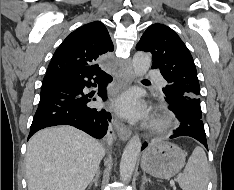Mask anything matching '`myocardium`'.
<instances>
[{"mask_svg":"<svg viewBox=\"0 0 234 190\" xmlns=\"http://www.w3.org/2000/svg\"><path fill=\"white\" fill-rule=\"evenodd\" d=\"M172 125V118L166 112H160L150 122V129L155 132L167 130Z\"/></svg>","mask_w":234,"mask_h":190,"instance_id":"obj_1","label":"myocardium"}]
</instances>
